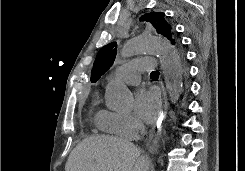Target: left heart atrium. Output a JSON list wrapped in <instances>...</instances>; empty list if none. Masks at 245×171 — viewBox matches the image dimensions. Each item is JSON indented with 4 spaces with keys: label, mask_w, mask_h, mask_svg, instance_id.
<instances>
[{
    "label": "left heart atrium",
    "mask_w": 245,
    "mask_h": 171,
    "mask_svg": "<svg viewBox=\"0 0 245 171\" xmlns=\"http://www.w3.org/2000/svg\"><path fill=\"white\" fill-rule=\"evenodd\" d=\"M161 108L159 94L154 89H139L135 94L134 112L146 123L153 122Z\"/></svg>",
    "instance_id": "39dd6f15"
}]
</instances>
